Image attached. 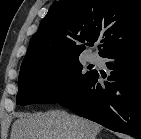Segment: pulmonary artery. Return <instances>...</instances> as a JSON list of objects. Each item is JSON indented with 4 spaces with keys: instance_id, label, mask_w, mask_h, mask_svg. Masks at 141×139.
I'll list each match as a JSON object with an SVG mask.
<instances>
[{
    "instance_id": "pulmonary-artery-1",
    "label": "pulmonary artery",
    "mask_w": 141,
    "mask_h": 139,
    "mask_svg": "<svg viewBox=\"0 0 141 139\" xmlns=\"http://www.w3.org/2000/svg\"><path fill=\"white\" fill-rule=\"evenodd\" d=\"M89 60L90 61H96L97 60V57L95 55H90L89 56Z\"/></svg>"
}]
</instances>
